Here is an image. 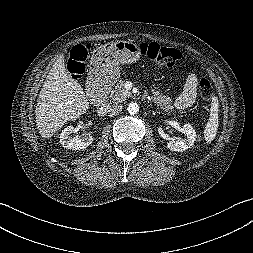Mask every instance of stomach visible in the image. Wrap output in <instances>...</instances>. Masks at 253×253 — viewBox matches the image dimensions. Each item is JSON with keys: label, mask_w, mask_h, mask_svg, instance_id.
Masks as SVG:
<instances>
[{"label": "stomach", "mask_w": 253, "mask_h": 253, "mask_svg": "<svg viewBox=\"0 0 253 253\" xmlns=\"http://www.w3.org/2000/svg\"><path fill=\"white\" fill-rule=\"evenodd\" d=\"M141 46L134 40H116L104 44L92 55L90 74L102 77L107 82L119 78V64H132L139 61Z\"/></svg>", "instance_id": "stomach-1"}]
</instances>
